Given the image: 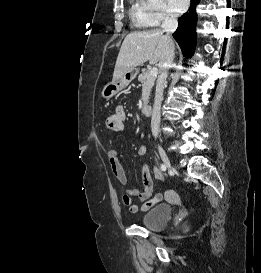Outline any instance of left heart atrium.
<instances>
[{
	"mask_svg": "<svg viewBox=\"0 0 261 273\" xmlns=\"http://www.w3.org/2000/svg\"><path fill=\"white\" fill-rule=\"evenodd\" d=\"M176 11H183L188 6V0H168Z\"/></svg>",
	"mask_w": 261,
	"mask_h": 273,
	"instance_id": "obj_1",
	"label": "left heart atrium"
}]
</instances>
